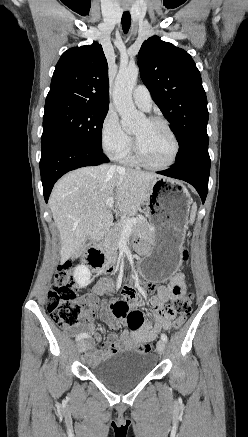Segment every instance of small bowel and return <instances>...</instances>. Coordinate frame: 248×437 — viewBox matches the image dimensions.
Here are the masks:
<instances>
[{"instance_id":"c3829d8e","label":"small bowel","mask_w":248,"mask_h":437,"mask_svg":"<svg viewBox=\"0 0 248 437\" xmlns=\"http://www.w3.org/2000/svg\"><path fill=\"white\" fill-rule=\"evenodd\" d=\"M185 291V275L177 273L167 286L158 287L157 295L150 299L153 309V322H144L141 311L136 308L138 297L135 290L126 287L123 291L124 298H113L110 311L114 318L126 324L129 330L117 334L115 332V321L109 319L108 325L111 333L103 347L98 349L93 343L87 345L86 356L88 362L91 365L98 364L124 349L134 348L139 344L153 341L163 330H170L173 314L168 312L169 306L167 303L183 295ZM105 294H115V285L108 280H100L94 285L93 292L84 298V302L93 309L100 308L103 306V301L100 298ZM93 328L94 324L88 322L85 325H77L69 329L68 333L71 335L88 334L82 331H91ZM101 338L100 334H96L94 340L99 342Z\"/></svg>"}]
</instances>
